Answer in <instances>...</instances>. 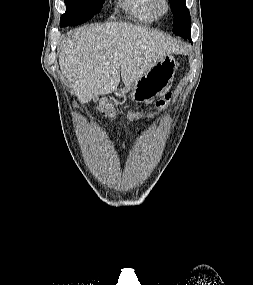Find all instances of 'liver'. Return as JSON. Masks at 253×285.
<instances>
[{
  "mask_svg": "<svg viewBox=\"0 0 253 285\" xmlns=\"http://www.w3.org/2000/svg\"><path fill=\"white\" fill-rule=\"evenodd\" d=\"M181 48L162 32L111 22L76 29L62 43L59 65L78 100L117 90L120 75L126 87L136 83L159 59Z\"/></svg>",
  "mask_w": 253,
  "mask_h": 285,
  "instance_id": "1",
  "label": "liver"
}]
</instances>
